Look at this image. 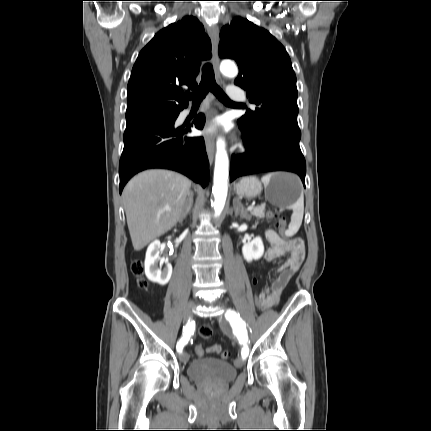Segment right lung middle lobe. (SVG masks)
Wrapping results in <instances>:
<instances>
[{
	"label": "right lung middle lobe",
	"mask_w": 431,
	"mask_h": 431,
	"mask_svg": "<svg viewBox=\"0 0 431 431\" xmlns=\"http://www.w3.org/2000/svg\"><path fill=\"white\" fill-rule=\"evenodd\" d=\"M175 113H167V114H161V115H157V116H152V117H159V116H170L173 115Z\"/></svg>",
	"instance_id": "dd1d6c3e"
}]
</instances>
